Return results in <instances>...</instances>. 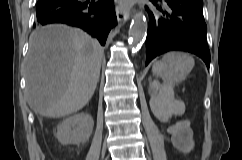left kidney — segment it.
<instances>
[{"label":"left kidney","mask_w":242,"mask_h":160,"mask_svg":"<svg viewBox=\"0 0 242 160\" xmlns=\"http://www.w3.org/2000/svg\"><path fill=\"white\" fill-rule=\"evenodd\" d=\"M150 106L153 114L160 122H168L172 113L167 110V106L165 104H162L156 98H153L151 99ZM176 108V113L182 114L185 111V105L183 102L176 101Z\"/></svg>","instance_id":"obj_1"}]
</instances>
